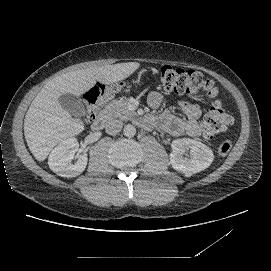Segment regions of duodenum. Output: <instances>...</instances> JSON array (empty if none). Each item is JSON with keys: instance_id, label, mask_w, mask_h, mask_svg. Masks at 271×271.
I'll return each instance as SVG.
<instances>
[{"instance_id": "410a0bca", "label": "duodenum", "mask_w": 271, "mask_h": 271, "mask_svg": "<svg viewBox=\"0 0 271 271\" xmlns=\"http://www.w3.org/2000/svg\"><path fill=\"white\" fill-rule=\"evenodd\" d=\"M93 128L94 130L107 129L108 131H113L115 129V124L112 123L110 112L107 108L100 111L93 123Z\"/></svg>"}]
</instances>
